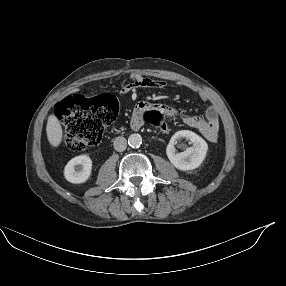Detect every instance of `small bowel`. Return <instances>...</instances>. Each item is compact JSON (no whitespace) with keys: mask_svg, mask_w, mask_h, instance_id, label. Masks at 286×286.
<instances>
[{"mask_svg":"<svg viewBox=\"0 0 286 286\" xmlns=\"http://www.w3.org/2000/svg\"><path fill=\"white\" fill-rule=\"evenodd\" d=\"M168 86L169 84L163 80L150 79L134 73L132 75V82L124 85L121 88V91L124 94H130L134 93L139 88L164 89ZM198 95L201 100L209 101V96L206 92L198 90ZM168 106L169 103L166 100H141L137 103V107L133 108L132 113L133 115L138 116L144 110L159 109L162 111L163 115L170 114L172 116L174 110ZM183 119L187 126L197 130L209 142H216L218 140L220 122L218 110L213 104H210L207 107L205 117L187 115L184 116ZM168 131L169 130L165 131V133Z\"/></svg>","mask_w":286,"mask_h":286,"instance_id":"small-bowel-1","label":"small bowel"}]
</instances>
